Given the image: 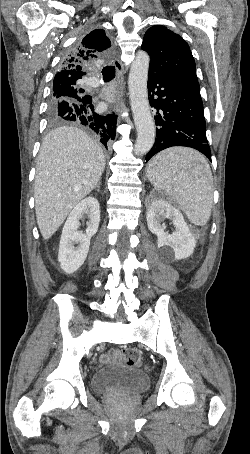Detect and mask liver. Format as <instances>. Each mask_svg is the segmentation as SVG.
Wrapping results in <instances>:
<instances>
[{"instance_id": "1", "label": "liver", "mask_w": 250, "mask_h": 454, "mask_svg": "<svg viewBox=\"0 0 250 454\" xmlns=\"http://www.w3.org/2000/svg\"><path fill=\"white\" fill-rule=\"evenodd\" d=\"M104 168L101 147L84 131L63 126L46 135L37 159L34 188L36 220L44 240L96 187Z\"/></svg>"}]
</instances>
